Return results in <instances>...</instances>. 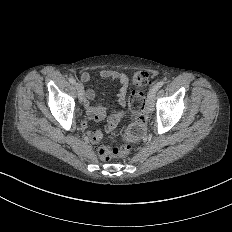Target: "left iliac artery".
I'll return each instance as SVG.
<instances>
[{"mask_svg": "<svg viewBox=\"0 0 232 232\" xmlns=\"http://www.w3.org/2000/svg\"><path fill=\"white\" fill-rule=\"evenodd\" d=\"M164 81H160L158 83H156L153 87H152V92H156L157 90H159L163 85H164Z\"/></svg>", "mask_w": 232, "mask_h": 232, "instance_id": "obj_1", "label": "left iliac artery"}]
</instances>
